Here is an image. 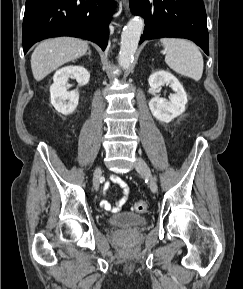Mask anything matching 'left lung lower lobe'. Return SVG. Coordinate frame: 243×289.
<instances>
[{
    "label": "left lung lower lobe",
    "mask_w": 243,
    "mask_h": 289,
    "mask_svg": "<svg viewBox=\"0 0 243 289\" xmlns=\"http://www.w3.org/2000/svg\"><path fill=\"white\" fill-rule=\"evenodd\" d=\"M130 9L145 19L140 43L161 37L186 38L209 55L203 0H130Z\"/></svg>",
    "instance_id": "1"
}]
</instances>
